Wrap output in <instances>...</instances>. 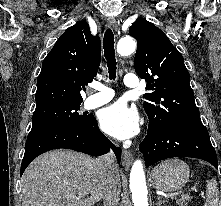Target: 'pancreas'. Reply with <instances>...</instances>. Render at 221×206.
Returning a JSON list of instances; mask_svg holds the SVG:
<instances>
[{
	"mask_svg": "<svg viewBox=\"0 0 221 206\" xmlns=\"http://www.w3.org/2000/svg\"><path fill=\"white\" fill-rule=\"evenodd\" d=\"M179 206H186L189 201H191L192 196L181 194L180 197L173 198Z\"/></svg>",
	"mask_w": 221,
	"mask_h": 206,
	"instance_id": "pancreas-1",
	"label": "pancreas"
}]
</instances>
